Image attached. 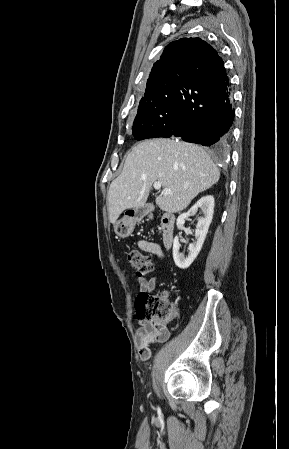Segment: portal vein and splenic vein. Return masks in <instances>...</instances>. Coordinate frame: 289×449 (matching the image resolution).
<instances>
[{"instance_id": "obj_1", "label": "portal vein and splenic vein", "mask_w": 289, "mask_h": 449, "mask_svg": "<svg viewBox=\"0 0 289 449\" xmlns=\"http://www.w3.org/2000/svg\"><path fill=\"white\" fill-rule=\"evenodd\" d=\"M153 186H154V188L156 189V190H159L160 188H161V183L160 182H155L154 184H153ZM163 192H164V194H172L173 192L171 191V189H168V188H165L164 190H163Z\"/></svg>"}]
</instances>
